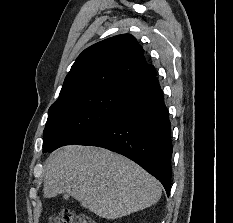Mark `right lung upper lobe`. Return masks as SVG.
<instances>
[{"label":"right lung upper lobe","instance_id":"right-lung-upper-lobe-1","mask_svg":"<svg viewBox=\"0 0 233 223\" xmlns=\"http://www.w3.org/2000/svg\"><path fill=\"white\" fill-rule=\"evenodd\" d=\"M156 76L144 50L130 34L117 35L85 49L65 78L60 96L96 89L124 90Z\"/></svg>","mask_w":233,"mask_h":223}]
</instances>
